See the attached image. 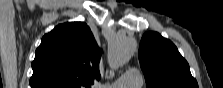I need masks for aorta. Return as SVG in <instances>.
<instances>
[{
    "label": "aorta",
    "mask_w": 223,
    "mask_h": 88,
    "mask_svg": "<svg viewBox=\"0 0 223 88\" xmlns=\"http://www.w3.org/2000/svg\"><path fill=\"white\" fill-rule=\"evenodd\" d=\"M136 51V41L130 37L117 38L110 46L108 61L111 67L119 68L129 61Z\"/></svg>",
    "instance_id": "1"
}]
</instances>
